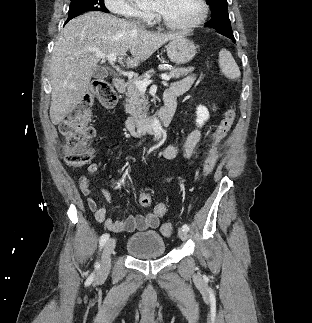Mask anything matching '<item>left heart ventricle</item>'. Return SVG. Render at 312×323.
<instances>
[{"label": "left heart ventricle", "instance_id": "obj_1", "mask_svg": "<svg viewBox=\"0 0 312 323\" xmlns=\"http://www.w3.org/2000/svg\"><path fill=\"white\" fill-rule=\"evenodd\" d=\"M161 14L168 22H188L189 18L200 17V2L197 0H166L161 7Z\"/></svg>", "mask_w": 312, "mask_h": 323}]
</instances>
